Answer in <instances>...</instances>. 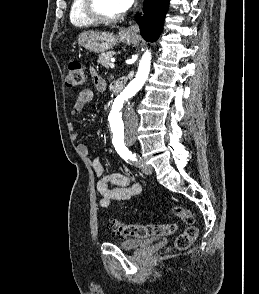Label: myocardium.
Masks as SVG:
<instances>
[{
	"instance_id": "myocardium-1",
	"label": "myocardium",
	"mask_w": 259,
	"mask_h": 294,
	"mask_svg": "<svg viewBox=\"0 0 259 294\" xmlns=\"http://www.w3.org/2000/svg\"><path fill=\"white\" fill-rule=\"evenodd\" d=\"M83 13L87 18H89L93 23L97 24H112L121 20L125 12L123 11L116 16H105L102 15L97 10V0H83Z\"/></svg>"
}]
</instances>
